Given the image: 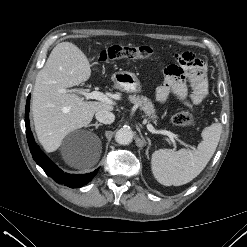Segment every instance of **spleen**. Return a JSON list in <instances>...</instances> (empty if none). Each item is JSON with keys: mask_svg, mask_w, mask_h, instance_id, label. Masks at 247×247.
I'll list each match as a JSON object with an SVG mask.
<instances>
[{"mask_svg": "<svg viewBox=\"0 0 247 247\" xmlns=\"http://www.w3.org/2000/svg\"><path fill=\"white\" fill-rule=\"evenodd\" d=\"M222 132L220 123H213L202 131L203 141L197 149H160L152 153L151 170L155 179L165 186H180L192 181L206 167L213 156Z\"/></svg>", "mask_w": 247, "mask_h": 247, "instance_id": "1", "label": "spleen"}]
</instances>
